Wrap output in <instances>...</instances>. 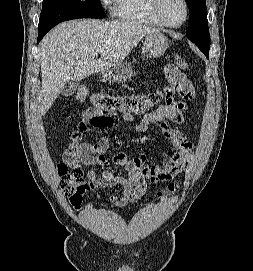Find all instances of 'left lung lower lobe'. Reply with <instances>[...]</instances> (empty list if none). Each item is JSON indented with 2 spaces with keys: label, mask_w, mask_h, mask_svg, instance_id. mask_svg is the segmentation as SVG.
Masks as SVG:
<instances>
[{
  "label": "left lung lower lobe",
  "mask_w": 253,
  "mask_h": 271,
  "mask_svg": "<svg viewBox=\"0 0 253 271\" xmlns=\"http://www.w3.org/2000/svg\"><path fill=\"white\" fill-rule=\"evenodd\" d=\"M208 53H209V51H207V52H205V55L208 57Z\"/></svg>",
  "instance_id": "1"
}]
</instances>
